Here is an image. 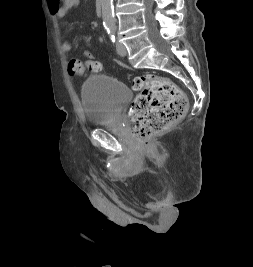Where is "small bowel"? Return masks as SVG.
<instances>
[{
  "instance_id": "obj_1",
  "label": "small bowel",
  "mask_w": 253,
  "mask_h": 267,
  "mask_svg": "<svg viewBox=\"0 0 253 267\" xmlns=\"http://www.w3.org/2000/svg\"><path fill=\"white\" fill-rule=\"evenodd\" d=\"M80 2L81 0H47L49 10L59 21H62L71 9L78 7ZM61 49L63 52H70L72 45L67 40H63Z\"/></svg>"
}]
</instances>
